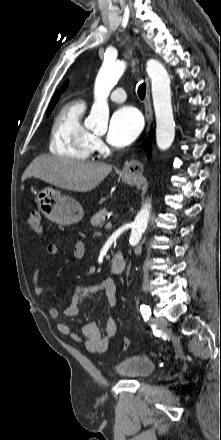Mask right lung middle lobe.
Masks as SVG:
<instances>
[{"instance_id":"right-lung-middle-lobe-1","label":"right lung middle lobe","mask_w":221,"mask_h":440,"mask_svg":"<svg viewBox=\"0 0 221 440\" xmlns=\"http://www.w3.org/2000/svg\"><path fill=\"white\" fill-rule=\"evenodd\" d=\"M53 108H54V107H51V108L49 109V113L47 114V116L51 113V111H52Z\"/></svg>"}]
</instances>
